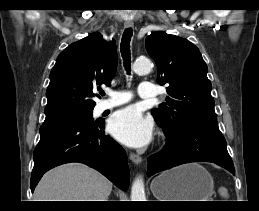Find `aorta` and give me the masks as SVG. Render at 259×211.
<instances>
[{
  "label": "aorta",
  "instance_id": "1",
  "mask_svg": "<svg viewBox=\"0 0 259 211\" xmlns=\"http://www.w3.org/2000/svg\"><path fill=\"white\" fill-rule=\"evenodd\" d=\"M152 69V63L149 59H138L133 64V70L138 75L147 74ZM131 201H146L143 179L137 177L131 187Z\"/></svg>",
  "mask_w": 259,
  "mask_h": 211
}]
</instances>
